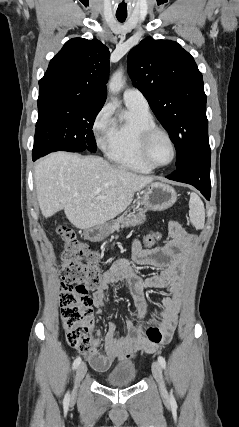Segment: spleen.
Masks as SVG:
<instances>
[{"label":"spleen","mask_w":239,"mask_h":427,"mask_svg":"<svg viewBox=\"0 0 239 427\" xmlns=\"http://www.w3.org/2000/svg\"><path fill=\"white\" fill-rule=\"evenodd\" d=\"M190 221L196 229H203L205 224L204 204L196 193H192L189 201Z\"/></svg>","instance_id":"spleen-1"}]
</instances>
